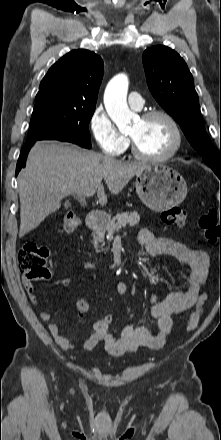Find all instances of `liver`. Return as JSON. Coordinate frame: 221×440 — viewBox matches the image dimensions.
<instances>
[{
  "label": "liver",
  "instance_id": "1",
  "mask_svg": "<svg viewBox=\"0 0 221 440\" xmlns=\"http://www.w3.org/2000/svg\"><path fill=\"white\" fill-rule=\"evenodd\" d=\"M146 163H128L75 145L41 141L30 150L26 167L18 176L20 231L23 237L61 207L70 194L84 195L94 190L99 203L107 204L104 179L117 195Z\"/></svg>",
  "mask_w": 221,
  "mask_h": 440
}]
</instances>
